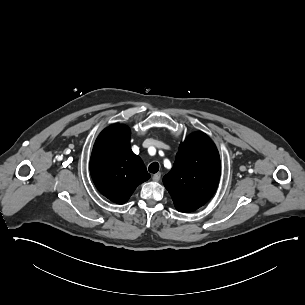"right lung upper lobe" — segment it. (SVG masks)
<instances>
[{"instance_id":"1","label":"right lung upper lobe","mask_w":305,"mask_h":305,"mask_svg":"<svg viewBox=\"0 0 305 305\" xmlns=\"http://www.w3.org/2000/svg\"><path fill=\"white\" fill-rule=\"evenodd\" d=\"M130 129L122 124L107 127L98 136L90 158V173L99 192L123 204L136 187L150 178L141 158L130 148Z\"/></svg>"}]
</instances>
